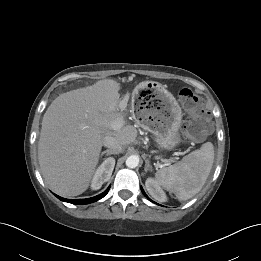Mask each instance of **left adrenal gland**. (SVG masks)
<instances>
[{"mask_svg": "<svg viewBox=\"0 0 261 261\" xmlns=\"http://www.w3.org/2000/svg\"><path fill=\"white\" fill-rule=\"evenodd\" d=\"M144 171H152V166L150 165V162L148 159L145 160V167H144Z\"/></svg>", "mask_w": 261, "mask_h": 261, "instance_id": "left-adrenal-gland-1", "label": "left adrenal gland"}]
</instances>
